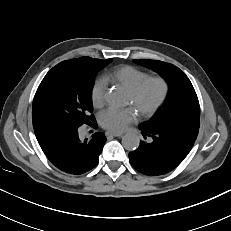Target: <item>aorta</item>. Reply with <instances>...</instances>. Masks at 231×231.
<instances>
[{
    "label": "aorta",
    "instance_id": "obj_1",
    "mask_svg": "<svg viewBox=\"0 0 231 231\" xmlns=\"http://www.w3.org/2000/svg\"><path fill=\"white\" fill-rule=\"evenodd\" d=\"M106 102L114 108H120L125 105L124 96L117 90H111L105 95ZM139 137L134 133H127L122 138V145L126 150L134 151L139 147Z\"/></svg>",
    "mask_w": 231,
    "mask_h": 231
}]
</instances>
